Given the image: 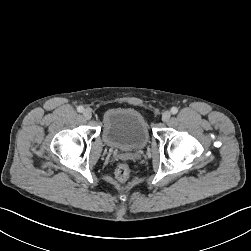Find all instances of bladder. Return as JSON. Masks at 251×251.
<instances>
[{
  "label": "bladder",
  "mask_w": 251,
  "mask_h": 251,
  "mask_svg": "<svg viewBox=\"0 0 251 251\" xmlns=\"http://www.w3.org/2000/svg\"><path fill=\"white\" fill-rule=\"evenodd\" d=\"M102 136L111 147L137 150L145 147L150 135L144 116L132 108H113L104 113Z\"/></svg>",
  "instance_id": "31cf9c89"
}]
</instances>
